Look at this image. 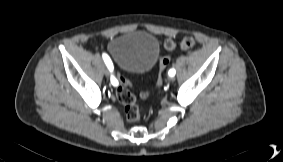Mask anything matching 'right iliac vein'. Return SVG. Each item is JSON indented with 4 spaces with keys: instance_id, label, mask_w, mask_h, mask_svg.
<instances>
[{
    "instance_id": "63e3f726",
    "label": "right iliac vein",
    "mask_w": 283,
    "mask_h": 162,
    "mask_svg": "<svg viewBox=\"0 0 283 162\" xmlns=\"http://www.w3.org/2000/svg\"><path fill=\"white\" fill-rule=\"evenodd\" d=\"M104 73H105L106 76H108L109 75L108 69H104Z\"/></svg>"
}]
</instances>
